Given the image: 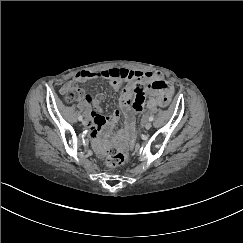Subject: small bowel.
I'll use <instances>...</instances> for the list:
<instances>
[{"label": "small bowel", "mask_w": 243, "mask_h": 243, "mask_svg": "<svg viewBox=\"0 0 243 243\" xmlns=\"http://www.w3.org/2000/svg\"><path fill=\"white\" fill-rule=\"evenodd\" d=\"M95 78H107L110 80L111 87L117 90L122 81L129 83L131 91H133V110L135 112L142 111L145 107L153 110L157 107H165L170 101L174 89L168 84L160 72L130 70L126 68H110L97 72L80 71L77 72L72 83H84ZM72 86L71 83L61 88L62 93H66L67 89ZM152 97L146 101V94ZM87 103L93 106L89 120V135L97 140V136L103 126L115 122L119 117V112L115 111L112 115L104 117L100 113L99 99L90 95H81Z\"/></svg>", "instance_id": "small-bowel-1"}]
</instances>
